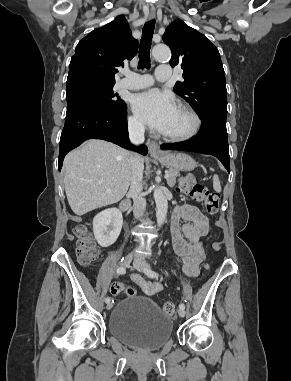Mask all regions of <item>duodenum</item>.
<instances>
[{
    "label": "duodenum",
    "instance_id": "duodenum-1",
    "mask_svg": "<svg viewBox=\"0 0 291 381\" xmlns=\"http://www.w3.org/2000/svg\"><path fill=\"white\" fill-rule=\"evenodd\" d=\"M129 206V202L128 201H124V202H122V204H121V208L122 209H125V208H127Z\"/></svg>",
    "mask_w": 291,
    "mask_h": 381
}]
</instances>
